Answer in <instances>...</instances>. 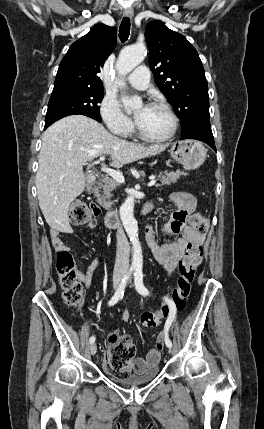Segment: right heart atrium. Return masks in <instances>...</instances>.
<instances>
[{"label": "right heart atrium", "instance_id": "d8ad5b80", "mask_svg": "<svg viewBox=\"0 0 264 429\" xmlns=\"http://www.w3.org/2000/svg\"><path fill=\"white\" fill-rule=\"evenodd\" d=\"M99 113L108 130L118 136H128L133 130V123L121 110L118 102L105 96L100 104Z\"/></svg>", "mask_w": 264, "mask_h": 429}]
</instances>
